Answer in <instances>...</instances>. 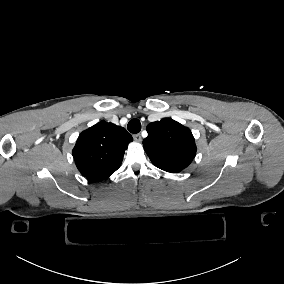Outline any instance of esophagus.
Wrapping results in <instances>:
<instances>
[{"label":"esophagus","instance_id":"esophagus-1","mask_svg":"<svg viewBox=\"0 0 284 284\" xmlns=\"http://www.w3.org/2000/svg\"><path fill=\"white\" fill-rule=\"evenodd\" d=\"M133 138L136 142H141L142 141V137L140 134H134Z\"/></svg>","mask_w":284,"mask_h":284}]
</instances>
